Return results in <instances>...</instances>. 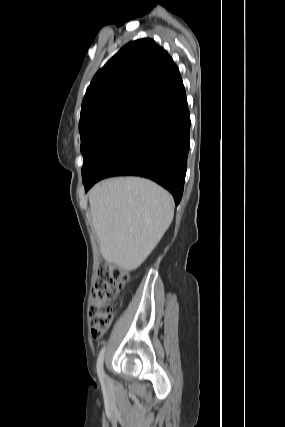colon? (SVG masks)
<instances>
[{
	"label": "colon",
	"mask_w": 285,
	"mask_h": 427,
	"mask_svg": "<svg viewBox=\"0 0 285 427\" xmlns=\"http://www.w3.org/2000/svg\"><path fill=\"white\" fill-rule=\"evenodd\" d=\"M128 281L129 274L121 268L112 264L98 266L89 309L90 330L94 337H101L109 329L113 318L112 301Z\"/></svg>",
	"instance_id": "colon-1"
}]
</instances>
